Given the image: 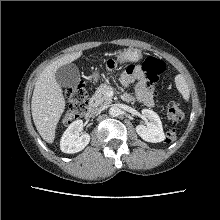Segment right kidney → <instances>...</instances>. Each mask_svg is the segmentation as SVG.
<instances>
[{"label":"right kidney","mask_w":220,"mask_h":220,"mask_svg":"<svg viewBox=\"0 0 220 220\" xmlns=\"http://www.w3.org/2000/svg\"><path fill=\"white\" fill-rule=\"evenodd\" d=\"M83 128V121L72 122L61 137L60 149L64 153H77L82 151L90 142V135L85 133L80 136Z\"/></svg>","instance_id":"1"}]
</instances>
